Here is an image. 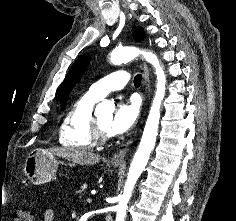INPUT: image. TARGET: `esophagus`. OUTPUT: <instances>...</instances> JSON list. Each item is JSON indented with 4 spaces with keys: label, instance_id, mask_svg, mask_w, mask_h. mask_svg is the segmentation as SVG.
Segmentation results:
<instances>
[{
    "label": "esophagus",
    "instance_id": "obj_1",
    "mask_svg": "<svg viewBox=\"0 0 236 221\" xmlns=\"http://www.w3.org/2000/svg\"><path fill=\"white\" fill-rule=\"evenodd\" d=\"M143 79H144V85L145 90L148 93L150 88V81H149V70L146 64H143ZM133 143V138L128 140V142L125 144V146L120 149L112 158L111 162L113 163H120L124 161V158L126 156V153L129 150L130 145Z\"/></svg>",
    "mask_w": 236,
    "mask_h": 221
}]
</instances>
